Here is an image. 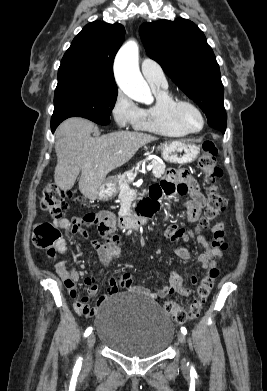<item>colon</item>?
<instances>
[{"label":"colon","instance_id":"obj_1","mask_svg":"<svg viewBox=\"0 0 267 391\" xmlns=\"http://www.w3.org/2000/svg\"><path fill=\"white\" fill-rule=\"evenodd\" d=\"M218 150L215 143L207 139L202 144V152L198 159V168L204 174V181L208 185V201L204 215L201 217L198 229L208 228L211 222L223 213L226 208V199L217 185V181L222 177V170L216 165ZM74 198L71 192L60 189L55 184L46 186L40 199L41 208L52 217L59 218L69 208V202ZM102 228V224L100 226ZM60 238V232L51 223L43 222L34 227V244L43 249H47L48 255L54 256V245ZM104 241L97 243L100 246ZM219 275V271L213 268L209 274L201 281L196 290V295L192 303L183 308L174 301H165L164 310L180 324L197 318L208 298L214 282Z\"/></svg>","mask_w":267,"mask_h":391}]
</instances>
